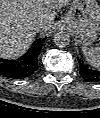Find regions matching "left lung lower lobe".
Masks as SVG:
<instances>
[{
  "label": "left lung lower lobe",
  "instance_id": "left-lung-lower-lobe-1",
  "mask_svg": "<svg viewBox=\"0 0 100 118\" xmlns=\"http://www.w3.org/2000/svg\"><path fill=\"white\" fill-rule=\"evenodd\" d=\"M80 75L87 82H99L100 81V70H94L88 68L83 63H80Z\"/></svg>",
  "mask_w": 100,
  "mask_h": 118
}]
</instances>
